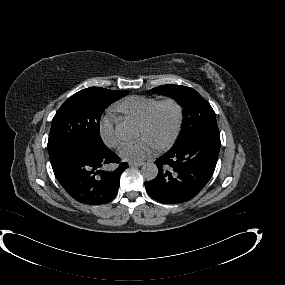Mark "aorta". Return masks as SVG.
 <instances>
[{"label": "aorta", "instance_id": "aorta-1", "mask_svg": "<svg viewBox=\"0 0 285 285\" xmlns=\"http://www.w3.org/2000/svg\"><path fill=\"white\" fill-rule=\"evenodd\" d=\"M124 131L125 127L123 125H119L117 127V134L119 136H122L124 134ZM141 172L144 178L150 181L156 178L158 174V167L155 163L147 162L142 166Z\"/></svg>", "mask_w": 285, "mask_h": 285}]
</instances>
